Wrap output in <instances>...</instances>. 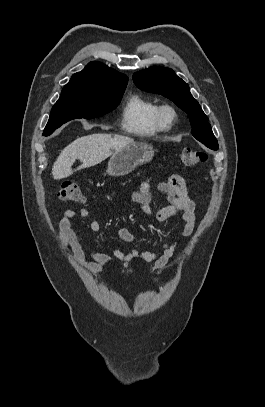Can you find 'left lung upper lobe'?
<instances>
[{"mask_svg": "<svg viewBox=\"0 0 265 407\" xmlns=\"http://www.w3.org/2000/svg\"><path fill=\"white\" fill-rule=\"evenodd\" d=\"M134 83L142 90L163 95L185 111L191 122L193 136L210 149L217 150L218 143L199 103L190 88L172 69L152 67L133 75Z\"/></svg>", "mask_w": 265, "mask_h": 407, "instance_id": "1", "label": "left lung upper lobe"}]
</instances>
